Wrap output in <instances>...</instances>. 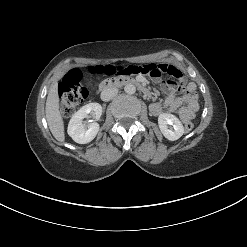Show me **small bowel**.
<instances>
[{"instance_id": "small-bowel-1", "label": "small bowel", "mask_w": 247, "mask_h": 247, "mask_svg": "<svg viewBox=\"0 0 247 247\" xmlns=\"http://www.w3.org/2000/svg\"><path fill=\"white\" fill-rule=\"evenodd\" d=\"M117 75H141L161 83L162 89L168 96L164 101L150 105V112L155 116L166 112L176 113L182 123H187L196 116L199 110L194 84L188 83L185 74L175 65L167 63L131 64L128 69ZM164 75L169 77L167 81H162ZM181 89H185V94L178 96Z\"/></svg>"}]
</instances>
